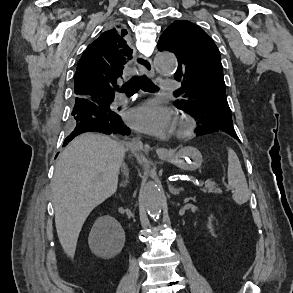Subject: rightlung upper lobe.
Returning <instances> with one entry per match:
<instances>
[{
	"mask_svg": "<svg viewBox=\"0 0 293 293\" xmlns=\"http://www.w3.org/2000/svg\"><path fill=\"white\" fill-rule=\"evenodd\" d=\"M126 34L127 31L117 25L88 46L74 76L76 99L114 98L123 68L132 58V49L124 39Z\"/></svg>",
	"mask_w": 293,
	"mask_h": 293,
	"instance_id": "right-lung-upper-lobe-1",
	"label": "right lung upper lobe"
}]
</instances>
